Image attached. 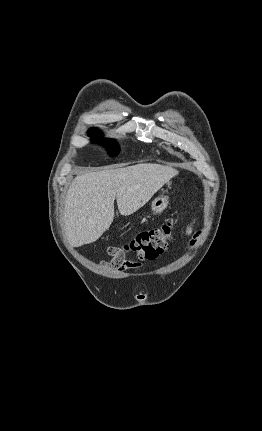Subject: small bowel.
Returning a JSON list of instances; mask_svg holds the SVG:
<instances>
[{"label": "small bowel", "mask_w": 262, "mask_h": 431, "mask_svg": "<svg viewBox=\"0 0 262 431\" xmlns=\"http://www.w3.org/2000/svg\"><path fill=\"white\" fill-rule=\"evenodd\" d=\"M194 224H195V221H192L187 226V228L185 229V235L188 236V237H192L191 244L195 243V238H196V235H194ZM102 265L105 266V267H108L110 269H113L116 272H124V271L128 270L130 267L133 266V265H130V264H126V263L120 262L117 259H113V260H110V261H103Z\"/></svg>", "instance_id": "small-bowel-1"}]
</instances>
